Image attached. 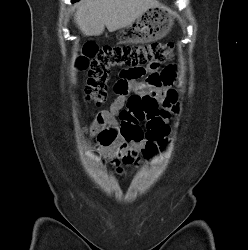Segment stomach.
Returning <instances> with one entry per match:
<instances>
[{
    "label": "stomach",
    "instance_id": "stomach-1",
    "mask_svg": "<svg viewBox=\"0 0 248 250\" xmlns=\"http://www.w3.org/2000/svg\"><path fill=\"white\" fill-rule=\"evenodd\" d=\"M173 25L171 11L159 6L149 8L132 24L127 26L131 36L126 37L129 43H149L164 37Z\"/></svg>",
    "mask_w": 248,
    "mask_h": 250
}]
</instances>
